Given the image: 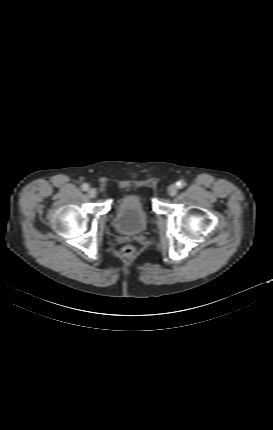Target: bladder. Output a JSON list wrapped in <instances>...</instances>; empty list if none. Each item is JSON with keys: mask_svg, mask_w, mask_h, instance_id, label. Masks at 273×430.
Returning <instances> with one entry per match:
<instances>
[{"mask_svg": "<svg viewBox=\"0 0 273 430\" xmlns=\"http://www.w3.org/2000/svg\"><path fill=\"white\" fill-rule=\"evenodd\" d=\"M113 226L123 235H139L149 223V215L140 196L129 194L121 198L114 209Z\"/></svg>", "mask_w": 273, "mask_h": 430, "instance_id": "obj_1", "label": "bladder"}]
</instances>
